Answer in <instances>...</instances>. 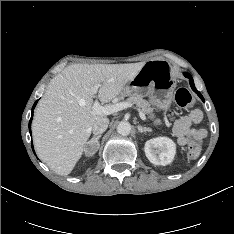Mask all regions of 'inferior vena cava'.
Listing matches in <instances>:
<instances>
[{
    "label": "inferior vena cava",
    "instance_id": "obj_1",
    "mask_svg": "<svg viewBox=\"0 0 234 234\" xmlns=\"http://www.w3.org/2000/svg\"><path fill=\"white\" fill-rule=\"evenodd\" d=\"M109 124V119L107 117L100 118L92 126V132L94 135L102 134L106 131Z\"/></svg>",
    "mask_w": 234,
    "mask_h": 234
}]
</instances>
